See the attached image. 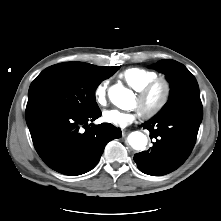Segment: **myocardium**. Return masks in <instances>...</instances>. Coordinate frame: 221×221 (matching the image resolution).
Wrapping results in <instances>:
<instances>
[{"mask_svg": "<svg viewBox=\"0 0 221 221\" xmlns=\"http://www.w3.org/2000/svg\"><path fill=\"white\" fill-rule=\"evenodd\" d=\"M159 86L162 87V96L158 103L148 110H144L140 106L138 107L141 116L145 119L155 117L165 108L171 96V82L166 77H157L136 91V97L141 105L149 97L151 92Z\"/></svg>", "mask_w": 221, "mask_h": 221, "instance_id": "myocardium-1", "label": "myocardium"}]
</instances>
